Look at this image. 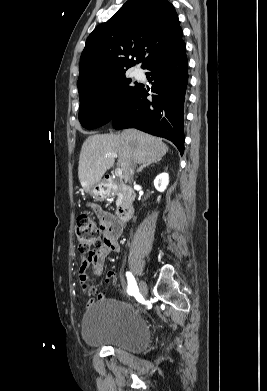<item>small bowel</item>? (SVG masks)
I'll list each match as a JSON object with an SVG mask.
<instances>
[{
    "label": "small bowel",
    "instance_id": "small-bowel-1",
    "mask_svg": "<svg viewBox=\"0 0 267 391\" xmlns=\"http://www.w3.org/2000/svg\"><path fill=\"white\" fill-rule=\"evenodd\" d=\"M91 209L96 214L103 228V243L101 248L93 255L82 257L78 269L80 286L83 289L87 304L90 305L97 295L98 299L105 298L103 293H98L89 283L88 270L95 276L103 274V266L106 257L110 253H117L120 250L119 237L123 231L122 224H118L114 217L97 205H92ZM107 279L116 277L114 272L107 274Z\"/></svg>",
    "mask_w": 267,
    "mask_h": 391
}]
</instances>
